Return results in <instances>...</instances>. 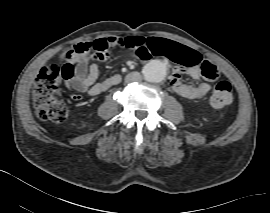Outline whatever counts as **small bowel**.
Here are the masks:
<instances>
[{"label":"small bowel","instance_id":"1","mask_svg":"<svg viewBox=\"0 0 270 213\" xmlns=\"http://www.w3.org/2000/svg\"><path fill=\"white\" fill-rule=\"evenodd\" d=\"M120 39L122 37L112 36L83 41L72 46V50H80L77 56L67 58V52L64 54L68 62L74 64V76L66 84L75 91L73 93L75 100L81 98V93H88L92 96L99 95L121 81L120 75L115 74L98 83L96 82L99 76L98 64L106 61L112 49L122 47L119 43ZM152 56H161L177 64L172 74V85L174 91L185 100L195 101L211 92L212 85L209 81H203L196 85L182 81L184 74L194 80L203 77L201 72L202 61L197 51L172 40L158 38L153 45L146 47L140 53L141 59L137 58L146 60Z\"/></svg>","mask_w":270,"mask_h":213}]
</instances>
